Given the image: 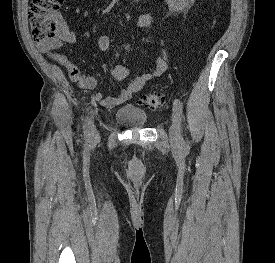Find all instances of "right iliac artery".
Masks as SVG:
<instances>
[{
	"label": "right iliac artery",
	"instance_id": "obj_1",
	"mask_svg": "<svg viewBox=\"0 0 275 263\" xmlns=\"http://www.w3.org/2000/svg\"><path fill=\"white\" fill-rule=\"evenodd\" d=\"M92 128H93V121H92V112L86 119V124H85V137L87 140L91 139V134H92Z\"/></svg>",
	"mask_w": 275,
	"mask_h": 263
}]
</instances>
